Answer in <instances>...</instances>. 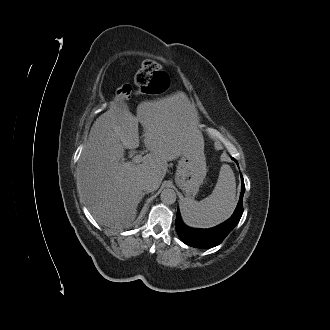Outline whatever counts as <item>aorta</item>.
I'll list each match as a JSON object with an SVG mask.
<instances>
[{"mask_svg": "<svg viewBox=\"0 0 330 330\" xmlns=\"http://www.w3.org/2000/svg\"><path fill=\"white\" fill-rule=\"evenodd\" d=\"M160 198L164 204L171 205L176 201V192L171 188H165L161 192Z\"/></svg>", "mask_w": 330, "mask_h": 330, "instance_id": "762f6f07", "label": "aorta"}]
</instances>
